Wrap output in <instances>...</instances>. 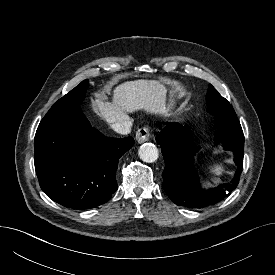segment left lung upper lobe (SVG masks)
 Returning <instances> with one entry per match:
<instances>
[{"label":"left lung upper lobe","instance_id":"obj_1","mask_svg":"<svg viewBox=\"0 0 275 275\" xmlns=\"http://www.w3.org/2000/svg\"><path fill=\"white\" fill-rule=\"evenodd\" d=\"M207 112L215 117V125L241 126L230 103L209 85L207 91Z\"/></svg>","mask_w":275,"mask_h":275}]
</instances>
